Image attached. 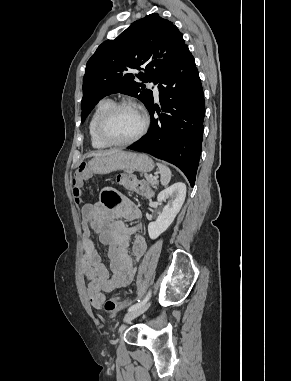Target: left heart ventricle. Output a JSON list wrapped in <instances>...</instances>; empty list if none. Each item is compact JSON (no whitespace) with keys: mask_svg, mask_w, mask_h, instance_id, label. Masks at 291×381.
Instances as JSON below:
<instances>
[{"mask_svg":"<svg viewBox=\"0 0 291 381\" xmlns=\"http://www.w3.org/2000/svg\"><path fill=\"white\" fill-rule=\"evenodd\" d=\"M142 125L138 110L130 107L118 110L106 124L107 134L116 141H124L135 136Z\"/></svg>","mask_w":291,"mask_h":381,"instance_id":"b2bd125f","label":"left heart ventricle"}]
</instances>
